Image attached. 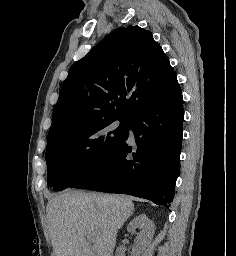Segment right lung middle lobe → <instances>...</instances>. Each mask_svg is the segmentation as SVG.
Returning a JSON list of instances; mask_svg holds the SVG:
<instances>
[{
    "label": "right lung middle lobe",
    "instance_id": "right-lung-middle-lobe-1",
    "mask_svg": "<svg viewBox=\"0 0 236 256\" xmlns=\"http://www.w3.org/2000/svg\"><path fill=\"white\" fill-rule=\"evenodd\" d=\"M118 120L119 126L113 123ZM131 119L111 118L77 124L47 138L48 184L55 191L111 154L127 135Z\"/></svg>",
    "mask_w": 236,
    "mask_h": 256
}]
</instances>
